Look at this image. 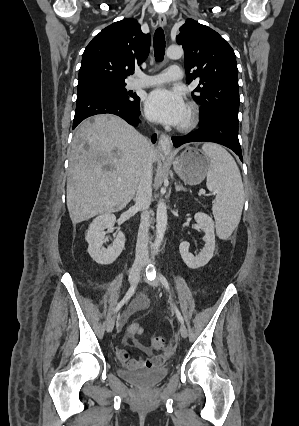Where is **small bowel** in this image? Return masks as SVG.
I'll return each instance as SVG.
<instances>
[{
	"instance_id": "c3829d8e",
	"label": "small bowel",
	"mask_w": 299,
	"mask_h": 426,
	"mask_svg": "<svg viewBox=\"0 0 299 426\" xmlns=\"http://www.w3.org/2000/svg\"><path fill=\"white\" fill-rule=\"evenodd\" d=\"M148 306V300L144 296L137 297L128 312L133 311H141L146 309ZM125 315L124 317H126ZM124 323V318L121 320L120 324ZM127 345V344H126ZM133 345L143 351L148 355L147 358L134 359L131 358V354L127 348V346L120 347L117 350V357L122 362V364L131 370L139 369V368H156L162 365L168 358V353H163L160 355H153L151 348L140 341H134Z\"/></svg>"
}]
</instances>
